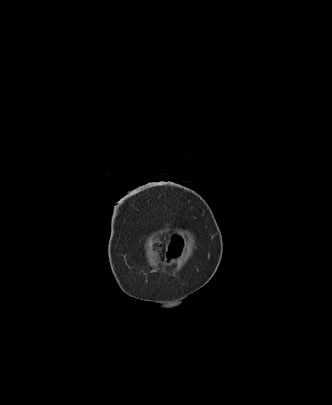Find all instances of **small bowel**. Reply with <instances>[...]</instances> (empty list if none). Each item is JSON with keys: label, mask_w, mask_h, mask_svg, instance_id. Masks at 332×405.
<instances>
[{"label": "small bowel", "mask_w": 332, "mask_h": 405, "mask_svg": "<svg viewBox=\"0 0 332 405\" xmlns=\"http://www.w3.org/2000/svg\"><path fill=\"white\" fill-rule=\"evenodd\" d=\"M169 260H177L181 255V247L179 242L173 243L171 247L166 250Z\"/></svg>", "instance_id": "c3829d8e"}]
</instances>
